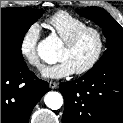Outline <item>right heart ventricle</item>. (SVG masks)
Masks as SVG:
<instances>
[{"instance_id":"obj_1","label":"right heart ventricle","mask_w":123,"mask_h":123,"mask_svg":"<svg viewBox=\"0 0 123 123\" xmlns=\"http://www.w3.org/2000/svg\"><path fill=\"white\" fill-rule=\"evenodd\" d=\"M45 26L64 41L75 31L88 25L67 11H58L45 20Z\"/></svg>"}]
</instances>
